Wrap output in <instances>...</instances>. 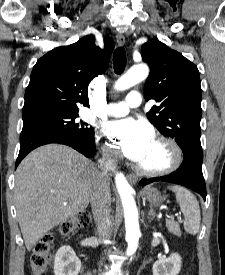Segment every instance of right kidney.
<instances>
[{
    "mask_svg": "<svg viewBox=\"0 0 225 275\" xmlns=\"http://www.w3.org/2000/svg\"><path fill=\"white\" fill-rule=\"evenodd\" d=\"M81 262L70 246H62L54 259L55 275H78Z\"/></svg>",
    "mask_w": 225,
    "mask_h": 275,
    "instance_id": "ca27d5eb",
    "label": "right kidney"
}]
</instances>
